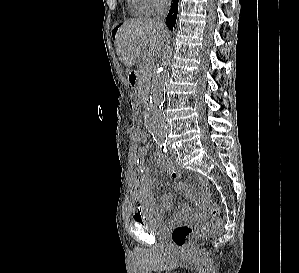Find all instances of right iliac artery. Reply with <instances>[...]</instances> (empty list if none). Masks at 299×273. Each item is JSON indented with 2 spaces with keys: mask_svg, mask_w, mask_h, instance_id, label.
I'll list each match as a JSON object with an SVG mask.
<instances>
[{
  "mask_svg": "<svg viewBox=\"0 0 299 273\" xmlns=\"http://www.w3.org/2000/svg\"><path fill=\"white\" fill-rule=\"evenodd\" d=\"M165 145H166L165 142H158V144H157L158 148H160V149L164 148Z\"/></svg>",
  "mask_w": 299,
  "mask_h": 273,
  "instance_id": "right-iliac-artery-1",
  "label": "right iliac artery"
}]
</instances>
